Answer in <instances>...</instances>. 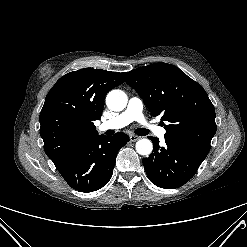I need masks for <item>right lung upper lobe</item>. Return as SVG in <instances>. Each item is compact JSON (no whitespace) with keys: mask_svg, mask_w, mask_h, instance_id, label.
<instances>
[{"mask_svg":"<svg viewBox=\"0 0 247 247\" xmlns=\"http://www.w3.org/2000/svg\"><path fill=\"white\" fill-rule=\"evenodd\" d=\"M124 82L117 72L84 68L61 77L46 96L40 135L47 156L58 166L85 141L98 136L106 94Z\"/></svg>","mask_w":247,"mask_h":247,"instance_id":"cb5924a9","label":"right lung upper lobe"}]
</instances>
